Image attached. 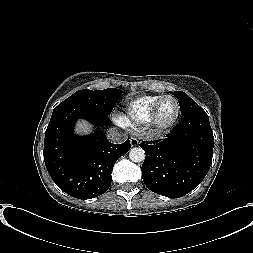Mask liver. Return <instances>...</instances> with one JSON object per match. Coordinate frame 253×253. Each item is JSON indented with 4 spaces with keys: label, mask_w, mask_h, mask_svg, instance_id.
Returning a JSON list of instances; mask_svg holds the SVG:
<instances>
[{
    "label": "liver",
    "mask_w": 253,
    "mask_h": 253,
    "mask_svg": "<svg viewBox=\"0 0 253 253\" xmlns=\"http://www.w3.org/2000/svg\"><path fill=\"white\" fill-rule=\"evenodd\" d=\"M75 130L77 133L87 134L92 131V126L88 122L81 120L77 122Z\"/></svg>",
    "instance_id": "obj_1"
}]
</instances>
